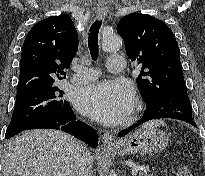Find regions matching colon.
I'll return each mask as SVG.
<instances>
[{
    "instance_id": "colon-1",
    "label": "colon",
    "mask_w": 205,
    "mask_h": 176,
    "mask_svg": "<svg viewBox=\"0 0 205 176\" xmlns=\"http://www.w3.org/2000/svg\"><path fill=\"white\" fill-rule=\"evenodd\" d=\"M176 176H193L187 166L181 164L177 167Z\"/></svg>"
}]
</instances>
